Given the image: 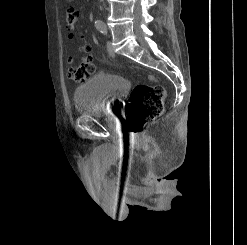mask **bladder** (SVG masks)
<instances>
[{
  "label": "bladder",
  "instance_id": "bladder-1",
  "mask_svg": "<svg viewBox=\"0 0 247 245\" xmlns=\"http://www.w3.org/2000/svg\"><path fill=\"white\" fill-rule=\"evenodd\" d=\"M126 78L100 72L79 85L74 92L76 112L82 116L115 113L130 89Z\"/></svg>",
  "mask_w": 247,
  "mask_h": 245
}]
</instances>
